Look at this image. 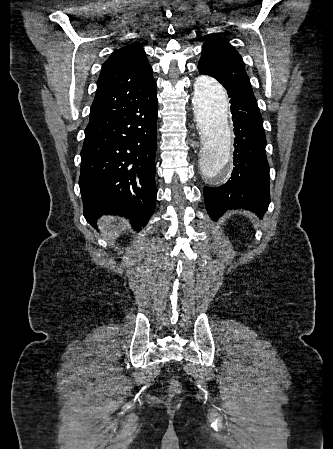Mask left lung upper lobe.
I'll use <instances>...</instances> for the list:
<instances>
[{"instance_id": "5c2ea615", "label": "left lung upper lobe", "mask_w": 333, "mask_h": 449, "mask_svg": "<svg viewBox=\"0 0 333 449\" xmlns=\"http://www.w3.org/2000/svg\"><path fill=\"white\" fill-rule=\"evenodd\" d=\"M198 69L200 73L216 78L225 88L231 86L254 94L242 57L227 41L208 39L202 46Z\"/></svg>"}]
</instances>
